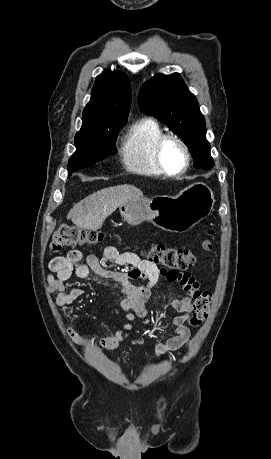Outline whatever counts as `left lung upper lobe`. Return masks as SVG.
<instances>
[{
    "label": "left lung upper lobe",
    "mask_w": 271,
    "mask_h": 459,
    "mask_svg": "<svg viewBox=\"0 0 271 459\" xmlns=\"http://www.w3.org/2000/svg\"><path fill=\"white\" fill-rule=\"evenodd\" d=\"M138 104L143 112L158 118L186 143L195 168L208 170L214 165L204 116L178 73L157 74L144 83Z\"/></svg>",
    "instance_id": "obj_1"
}]
</instances>
